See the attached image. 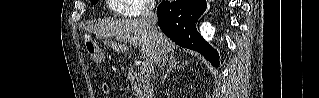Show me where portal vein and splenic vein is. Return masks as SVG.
Segmentation results:
<instances>
[{
    "label": "portal vein and splenic vein",
    "instance_id": "18ae733b",
    "mask_svg": "<svg viewBox=\"0 0 319 98\" xmlns=\"http://www.w3.org/2000/svg\"><path fill=\"white\" fill-rule=\"evenodd\" d=\"M116 39L118 40V39H121V38L117 37ZM127 41L130 44H132L133 46H137L138 45V42H136L135 40L128 39ZM141 68H142L143 72H146V73L151 72L152 69H153V63L151 61H149V60H145V61L142 62Z\"/></svg>",
    "mask_w": 319,
    "mask_h": 98
}]
</instances>
